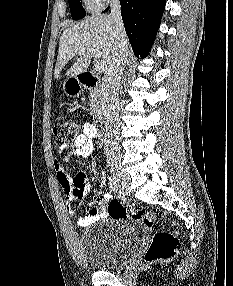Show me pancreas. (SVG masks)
Returning <instances> with one entry per match:
<instances>
[{
	"label": "pancreas",
	"mask_w": 233,
	"mask_h": 286,
	"mask_svg": "<svg viewBox=\"0 0 233 286\" xmlns=\"http://www.w3.org/2000/svg\"><path fill=\"white\" fill-rule=\"evenodd\" d=\"M103 91L100 88H94L90 90L89 94V105L91 110V115L93 116L94 120L102 113V105H103Z\"/></svg>",
	"instance_id": "obj_1"
}]
</instances>
